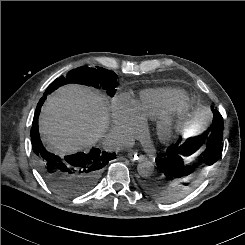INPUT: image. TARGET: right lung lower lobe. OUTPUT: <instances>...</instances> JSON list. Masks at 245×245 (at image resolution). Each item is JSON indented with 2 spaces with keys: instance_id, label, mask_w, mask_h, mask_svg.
Here are the masks:
<instances>
[{
  "instance_id": "98d812e1",
  "label": "right lung lower lobe",
  "mask_w": 245,
  "mask_h": 245,
  "mask_svg": "<svg viewBox=\"0 0 245 245\" xmlns=\"http://www.w3.org/2000/svg\"><path fill=\"white\" fill-rule=\"evenodd\" d=\"M47 94L37 104L31 127L32 149L39 172L46 183L64 197H76L89 191L115 153L92 148L89 153H77L63 158L48 152L42 145L38 117Z\"/></svg>"
}]
</instances>
